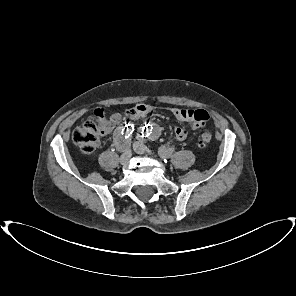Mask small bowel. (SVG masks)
I'll list each match as a JSON object with an SVG mask.
<instances>
[{
    "instance_id": "1",
    "label": "small bowel",
    "mask_w": 296,
    "mask_h": 296,
    "mask_svg": "<svg viewBox=\"0 0 296 296\" xmlns=\"http://www.w3.org/2000/svg\"><path fill=\"white\" fill-rule=\"evenodd\" d=\"M151 111L152 107L150 105L138 104L137 106L126 112V117L130 120H138L146 116ZM172 112L178 120L191 122L193 130L203 128L209 119V114L205 110L174 108ZM121 120V114L113 113L106 121V133L112 131L116 126H118ZM174 133L177 140L179 141H191L193 139L192 135L188 132V130L181 126L175 127ZM173 150V144H165L161 147L160 153L163 156H166L169 155Z\"/></svg>"
}]
</instances>
